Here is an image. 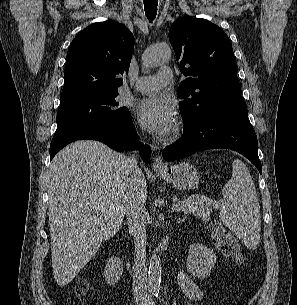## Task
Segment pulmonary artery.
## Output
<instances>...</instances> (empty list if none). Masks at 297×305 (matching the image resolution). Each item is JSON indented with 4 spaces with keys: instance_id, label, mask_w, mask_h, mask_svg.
I'll use <instances>...</instances> for the list:
<instances>
[{
    "instance_id": "pulmonary-artery-1",
    "label": "pulmonary artery",
    "mask_w": 297,
    "mask_h": 305,
    "mask_svg": "<svg viewBox=\"0 0 297 305\" xmlns=\"http://www.w3.org/2000/svg\"><path fill=\"white\" fill-rule=\"evenodd\" d=\"M173 79L172 71L169 68H162L155 75L142 76L136 80L135 89L139 92L158 91Z\"/></svg>"
}]
</instances>
